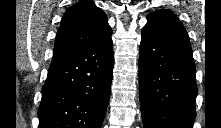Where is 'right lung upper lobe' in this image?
<instances>
[{
	"label": "right lung upper lobe",
	"mask_w": 221,
	"mask_h": 128,
	"mask_svg": "<svg viewBox=\"0 0 221 128\" xmlns=\"http://www.w3.org/2000/svg\"><path fill=\"white\" fill-rule=\"evenodd\" d=\"M111 35L112 30L104 11L91 0H83L70 7L63 15L54 52L100 46Z\"/></svg>",
	"instance_id": "cb5924a9"
}]
</instances>
